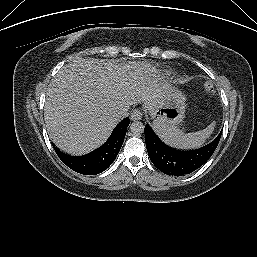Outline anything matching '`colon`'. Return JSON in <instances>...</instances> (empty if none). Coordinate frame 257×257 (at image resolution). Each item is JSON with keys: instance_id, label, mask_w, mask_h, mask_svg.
Masks as SVG:
<instances>
[{"instance_id": "1", "label": "colon", "mask_w": 257, "mask_h": 257, "mask_svg": "<svg viewBox=\"0 0 257 257\" xmlns=\"http://www.w3.org/2000/svg\"><path fill=\"white\" fill-rule=\"evenodd\" d=\"M204 90L208 96H213L215 94L214 86L210 82L204 84Z\"/></svg>"}]
</instances>
